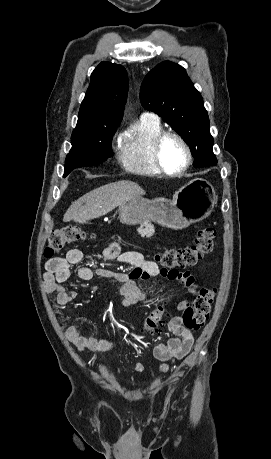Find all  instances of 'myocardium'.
<instances>
[{
	"mask_svg": "<svg viewBox=\"0 0 271 459\" xmlns=\"http://www.w3.org/2000/svg\"><path fill=\"white\" fill-rule=\"evenodd\" d=\"M169 136H175L178 139H180V141L183 143V145L185 146L186 151H187V155H188L187 163H186L185 167L180 169V170H171V169H169L165 165V163L163 162V159H162V155H161L162 142L164 141L165 138H167ZM152 158H153V161H154L155 165L164 174H166L168 176H171V177H177V176H181V175H183V174H185L186 172L189 171V169L191 168V166L193 164L194 153H193V149H192L189 141L187 140V138L183 134H181L180 132H178L176 130L169 129V130H162L161 132H159L154 137L153 143H152Z\"/></svg>",
	"mask_w": 271,
	"mask_h": 459,
	"instance_id": "1",
	"label": "myocardium"
}]
</instances>
